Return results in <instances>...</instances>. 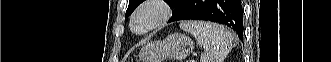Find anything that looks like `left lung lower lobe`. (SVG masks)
I'll return each instance as SVG.
<instances>
[{
  "label": "left lung lower lobe",
  "mask_w": 331,
  "mask_h": 62,
  "mask_svg": "<svg viewBox=\"0 0 331 62\" xmlns=\"http://www.w3.org/2000/svg\"><path fill=\"white\" fill-rule=\"evenodd\" d=\"M207 20L231 27L243 41V9L241 0H186L183 7L170 19Z\"/></svg>",
  "instance_id": "0a47b994"
}]
</instances>
